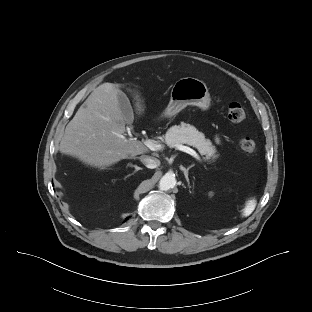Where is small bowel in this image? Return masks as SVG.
<instances>
[{
	"label": "small bowel",
	"mask_w": 312,
	"mask_h": 312,
	"mask_svg": "<svg viewBox=\"0 0 312 312\" xmlns=\"http://www.w3.org/2000/svg\"><path fill=\"white\" fill-rule=\"evenodd\" d=\"M215 140H216L217 143H219V142L221 141V139H220L219 136H217V137L215 138Z\"/></svg>",
	"instance_id": "c3829d8e"
}]
</instances>
